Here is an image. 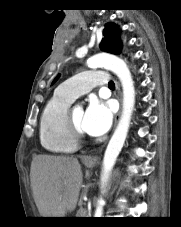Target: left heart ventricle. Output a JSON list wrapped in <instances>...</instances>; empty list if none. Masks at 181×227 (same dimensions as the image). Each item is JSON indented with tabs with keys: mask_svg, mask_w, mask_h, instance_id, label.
Returning <instances> with one entry per match:
<instances>
[{
	"mask_svg": "<svg viewBox=\"0 0 181 227\" xmlns=\"http://www.w3.org/2000/svg\"><path fill=\"white\" fill-rule=\"evenodd\" d=\"M84 112L82 109H73L72 110V118L75 124L82 129V121H83Z\"/></svg>",
	"mask_w": 181,
	"mask_h": 227,
	"instance_id": "left-heart-ventricle-1",
	"label": "left heart ventricle"
}]
</instances>
